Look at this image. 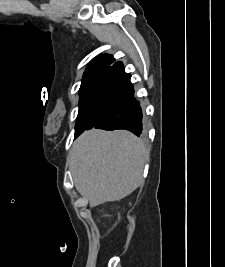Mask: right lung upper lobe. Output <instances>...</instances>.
Masks as SVG:
<instances>
[{
	"instance_id": "obj_1",
	"label": "right lung upper lobe",
	"mask_w": 225,
	"mask_h": 267,
	"mask_svg": "<svg viewBox=\"0 0 225 267\" xmlns=\"http://www.w3.org/2000/svg\"><path fill=\"white\" fill-rule=\"evenodd\" d=\"M114 61L115 59L107 54L95 57L86 68L83 78L85 80H96Z\"/></svg>"
}]
</instances>
